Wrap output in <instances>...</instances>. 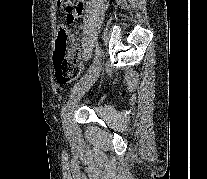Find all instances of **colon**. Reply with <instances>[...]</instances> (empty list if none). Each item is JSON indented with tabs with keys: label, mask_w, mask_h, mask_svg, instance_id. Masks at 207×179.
Listing matches in <instances>:
<instances>
[{
	"label": "colon",
	"mask_w": 207,
	"mask_h": 179,
	"mask_svg": "<svg viewBox=\"0 0 207 179\" xmlns=\"http://www.w3.org/2000/svg\"><path fill=\"white\" fill-rule=\"evenodd\" d=\"M58 7L66 15V23H71V17L75 10L74 0H57ZM55 76L59 82H70L81 74L79 56L72 54L69 47L68 30L61 26L58 30L54 50Z\"/></svg>",
	"instance_id": "5ec220e1"
}]
</instances>
